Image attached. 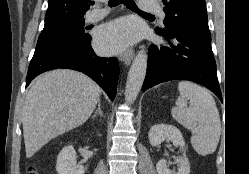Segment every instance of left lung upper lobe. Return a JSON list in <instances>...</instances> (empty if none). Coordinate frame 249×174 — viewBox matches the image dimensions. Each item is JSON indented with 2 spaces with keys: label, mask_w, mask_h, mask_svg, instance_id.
Here are the masks:
<instances>
[{
  "label": "left lung upper lobe",
  "mask_w": 249,
  "mask_h": 174,
  "mask_svg": "<svg viewBox=\"0 0 249 174\" xmlns=\"http://www.w3.org/2000/svg\"><path fill=\"white\" fill-rule=\"evenodd\" d=\"M165 28H157L166 36L184 33L210 34L205 0H162Z\"/></svg>",
  "instance_id": "left-lung-upper-lobe-1"
}]
</instances>
